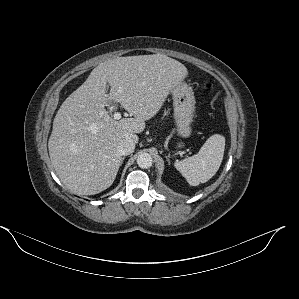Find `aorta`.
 I'll return each instance as SVG.
<instances>
[{"label":"aorta","mask_w":299,"mask_h":299,"mask_svg":"<svg viewBox=\"0 0 299 299\" xmlns=\"http://www.w3.org/2000/svg\"><path fill=\"white\" fill-rule=\"evenodd\" d=\"M153 160L149 153H142L137 157V164L140 168L147 169L152 166Z\"/></svg>","instance_id":"aorta-1"}]
</instances>
